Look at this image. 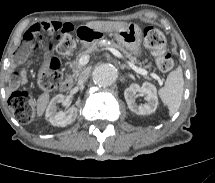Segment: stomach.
Wrapping results in <instances>:
<instances>
[{"label":"stomach","instance_id":"1","mask_svg":"<svg viewBox=\"0 0 215 183\" xmlns=\"http://www.w3.org/2000/svg\"><path fill=\"white\" fill-rule=\"evenodd\" d=\"M111 36L119 42V44L125 47L135 57L141 56L142 48V32L138 25L129 24L126 29L115 31ZM97 41V40H95ZM89 43H85V46Z\"/></svg>","mask_w":215,"mask_h":183}]
</instances>
